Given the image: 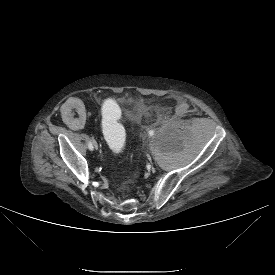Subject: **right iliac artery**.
<instances>
[{
  "instance_id": "1",
  "label": "right iliac artery",
  "mask_w": 275,
  "mask_h": 275,
  "mask_svg": "<svg viewBox=\"0 0 275 275\" xmlns=\"http://www.w3.org/2000/svg\"><path fill=\"white\" fill-rule=\"evenodd\" d=\"M88 148H89L90 150H93L94 147H93V145H92L91 142L88 143Z\"/></svg>"
}]
</instances>
